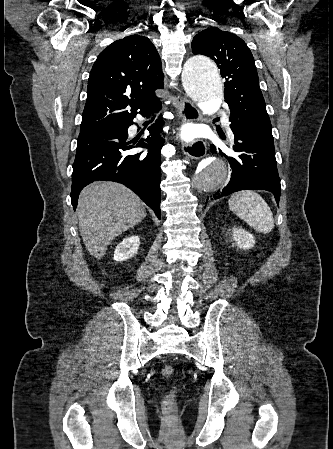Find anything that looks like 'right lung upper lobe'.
<instances>
[{
    "label": "right lung upper lobe",
    "instance_id": "cb5924a9",
    "mask_svg": "<svg viewBox=\"0 0 333 449\" xmlns=\"http://www.w3.org/2000/svg\"><path fill=\"white\" fill-rule=\"evenodd\" d=\"M163 79L159 54L147 37L130 35L113 42L90 72L81 130L111 126L136 115L159 100L155 90L163 88Z\"/></svg>",
    "mask_w": 333,
    "mask_h": 449
}]
</instances>
